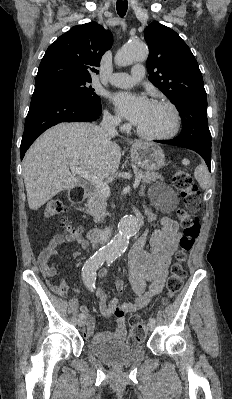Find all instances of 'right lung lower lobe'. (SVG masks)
Listing matches in <instances>:
<instances>
[{
	"mask_svg": "<svg viewBox=\"0 0 232 399\" xmlns=\"http://www.w3.org/2000/svg\"><path fill=\"white\" fill-rule=\"evenodd\" d=\"M102 113L82 103L69 92L49 84L35 85L21 142V159L35 139L61 122L95 121Z\"/></svg>",
	"mask_w": 232,
	"mask_h": 399,
	"instance_id": "right-lung-lower-lobe-1",
	"label": "right lung lower lobe"
}]
</instances>
